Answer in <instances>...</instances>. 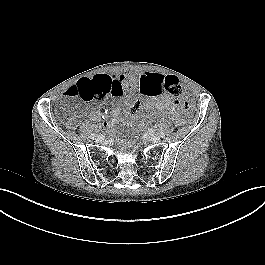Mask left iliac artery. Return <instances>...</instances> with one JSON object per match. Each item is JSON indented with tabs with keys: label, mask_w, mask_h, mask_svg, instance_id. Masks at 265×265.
Instances as JSON below:
<instances>
[{
	"label": "left iliac artery",
	"mask_w": 265,
	"mask_h": 265,
	"mask_svg": "<svg viewBox=\"0 0 265 265\" xmlns=\"http://www.w3.org/2000/svg\"><path fill=\"white\" fill-rule=\"evenodd\" d=\"M159 136L163 138L165 134L163 132H159Z\"/></svg>",
	"instance_id": "1"
}]
</instances>
